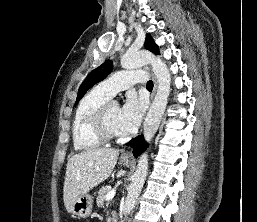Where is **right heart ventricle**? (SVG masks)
<instances>
[{
	"label": "right heart ventricle",
	"mask_w": 257,
	"mask_h": 222,
	"mask_svg": "<svg viewBox=\"0 0 257 222\" xmlns=\"http://www.w3.org/2000/svg\"><path fill=\"white\" fill-rule=\"evenodd\" d=\"M110 99L105 92L94 88L80 100L72 123V139L76 150H92L102 145L103 142L94 132L92 121L98 108Z\"/></svg>",
	"instance_id": "obj_1"
}]
</instances>
